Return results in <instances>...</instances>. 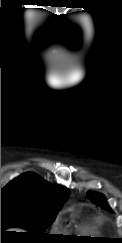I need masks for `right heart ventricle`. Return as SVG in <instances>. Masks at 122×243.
Instances as JSON below:
<instances>
[{
	"instance_id": "e07e8e85",
	"label": "right heart ventricle",
	"mask_w": 122,
	"mask_h": 243,
	"mask_svg": "<svg viewBox=\"0 0 122 243\" xmlns=\"http://www.w3.org/2000/svg\"><path fill=\"white\" fill-rule=\"evenodd\" d=\"M97 226L95 224H87L83 227V231L86 232H95L96 231Z\"/></svg>"
}]
</instances>
